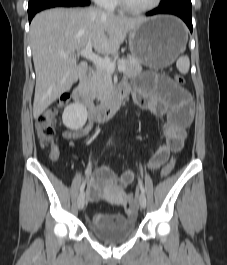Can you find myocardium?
<instances>
[{
	"instance_id": "f54148a6",
	"label": "myocardium",
	"mask_w": 227,
	"mask_h": 265,
	"mask_svg": "<svg viewBox=\"0 0 227 265\" xmlns=\"http://www.w3.org/2000/svg\"><path fill=\"white\" fill-rule=\"evenodd\" d=\"M162 0H155L151 5L144 8H136L131 6L127 0H118L120 7L132 14H144L155 10L161 3Z\"/></svg>"
}]
</instances>
